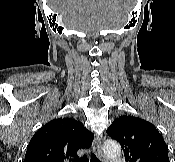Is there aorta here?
<instances>
[{"mask_svg": "<svg viewBox=\"0 0 175 162\" xmlns=\"http://www.w3.org/2000/svg\"><path fill=\"white\" fill-rule=\"evenodd\" d=\"M103 152L109 159H116L121 154V147L115 140H107L103 144Z\"/></svg>", "mask_w": 175, "mask_h": 162, "instance_id": "aorta-1", "label": "aorta"}]
</instances>
